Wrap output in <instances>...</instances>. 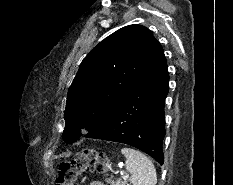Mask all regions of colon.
<instances>
[{
	"mask_svg": "<svg viewBox=\"0 0 233 185\" xmlns=\"http://www.w3.org/2000/svg\"><path fill=\"white\" fill-rule=\"evenodd\" d=\"M108 170L109 162L104 153L86 148L77 158L59 164L56 185H75L78 177L85 172L104 175Z\"/></svg>",
	"mask_w": 233,
	"mask_h": 185,
	"instance_id": "5ec220e1",
	"label": "colon"
}]
</instances>
